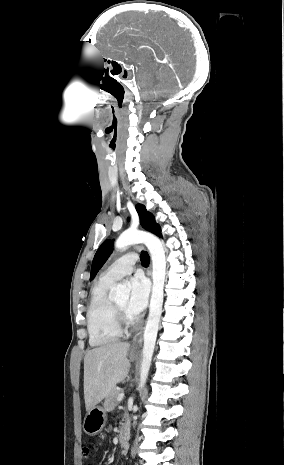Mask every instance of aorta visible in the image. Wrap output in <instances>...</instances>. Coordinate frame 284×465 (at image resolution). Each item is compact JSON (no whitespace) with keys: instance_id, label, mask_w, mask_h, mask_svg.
<instances>
[{"instance_id":"762f6f07","label":"aorta","mask_w":284,"mask_h":465,"mask_svg":"<svg viewBox=\"0 0 284 465\" xmlns=\"http://www.w3.org/2000/svg\"><path fill=\"white\" fill-rule=\"evenodd\" d=\"M143 243L148 248L152 259L153 287L150 300L149 315L144 330V344L142 349V361L140 367V382L138 390H141L147 380L151 366L152 356L162 314L164 298V282L166 276V257L162 242L153 234L144 231L127 230L122 233L115 242L117 249H124L132 244ZM115 300H127L129 289L126 285L117 284L112 290Z\"/></svg>"}]
</instances>
